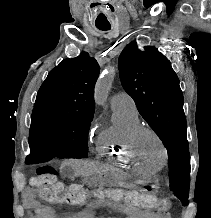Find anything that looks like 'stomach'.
I'll use <instances>...</instances> for the list:
<instances>
[{
  "mask_svg": "<svg viewBox=\"0 0 211 218\" xmlns=\"http://www.w3.org/2000/svg\"><path fill=\"white\" fill-rule=\"evenodd\" d=\"M86 182L93 186L103 185L109 187H124L129 189L142 190L143 187L150 182L151 179L142 178L130 174H98L92 177H86Z\"/></svg>",
  "mask_w": 211,
  "mask_h": 218,
  "instance_id": "stomach-1",
  "label": "stomach"
}]
</instances>
